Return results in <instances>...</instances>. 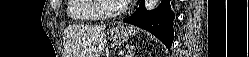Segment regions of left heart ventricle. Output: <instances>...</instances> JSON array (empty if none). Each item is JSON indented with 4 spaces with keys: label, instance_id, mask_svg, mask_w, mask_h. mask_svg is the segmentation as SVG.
<instances>
[{
    "label": "left heart ventricle",
    "instance_id": "obj_1",
    "mask_svg": "<svg viewBox=\"0 0 249 57\" xmlns=\"http://www.w3.org/2000/svg\"><path fill=\"white\" fill-rule=\"evenodd\" d=\"M122 2L119 0H105L104 8L107 12L116 11Z\"/></svg>",
    "mask_w": 249,
    "mask_h": 57
}]
</instances>
